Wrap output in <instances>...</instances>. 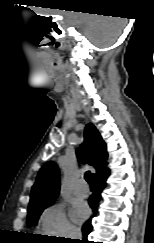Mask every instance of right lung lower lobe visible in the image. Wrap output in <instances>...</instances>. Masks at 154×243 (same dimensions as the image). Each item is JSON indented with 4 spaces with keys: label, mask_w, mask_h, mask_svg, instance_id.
I'll list each match as a JSON object with an SVG mask.
<instances>
[{
    "label": "right lung lower lobe",
    "mask_w": 154,
    "mask_h": 243,
    "mask_svg": "<svg viewBox=\"0 0 154 243\" xmlns=\"http://www.w3.org/2000/svg\"><path fill=\"white\" fill-rule=\"evenodd\" d=\"M109 176V170L94 177L95 188L93 194L89 198V205L93 212L98 211L99 201L101 199V191L106 186V179ZM92 230L91 219L87 220L82 227L83 240L82 241H64L59 239H51L49 243H89L87 241V236Z\"/></svg>",
    "instance_id": "1"
}]
</instances>
